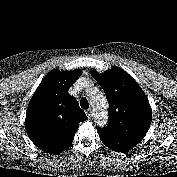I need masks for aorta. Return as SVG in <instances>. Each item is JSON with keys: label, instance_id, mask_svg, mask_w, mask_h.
Masks as SVG:
<instances>
[{"label": "aorta", "instance_id": "obj_1", "mask_svg": "<svg viewBox=\"0 0 177 177\" xmlns=\"http://www.w3.org/2000/svg\"><path fill=\"white\" fill-rule=\"evenodd\" d=\"M90 101L94 109L97 111V123L105 125L107 122V101L104 95L100 92H95L91 95Z\"/></svg>", "mask_w": 177, "mask_h": 177}]
</instances>
